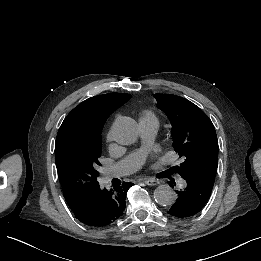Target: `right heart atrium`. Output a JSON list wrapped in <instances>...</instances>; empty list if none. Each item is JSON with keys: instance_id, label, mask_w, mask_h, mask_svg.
I'll return each instance as SVG.
<instances>
[{"instance_id": "obj_1", "label": "right heart atrium", "mask_w": 261, "mask_h": 261, "mask_svg": "<svg viewBox=\"0 0 261 261\" xmlns=\"http://www.w3.org/2000/svg\"><path fill=\"white\" fill-rule=\"evenodd\" d=\"M113 139L114 138L112 136V130L110 129V131L106 135V141L110 144V147L112 146L111 143H112Z\"/></svg>"}]
</instances>
